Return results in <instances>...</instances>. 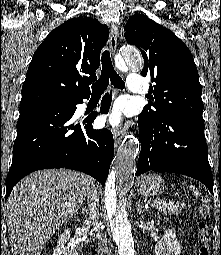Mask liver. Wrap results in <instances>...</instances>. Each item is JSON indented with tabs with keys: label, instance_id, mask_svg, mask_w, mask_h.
<instances>
[{
	"label": "liver",
	"instance_id": "6515ba94",
	"mask_svg": "<svg viewBox=\"0 0 221 255\" xmlns=\"http://www.w3.org/2000/svg\"><path fill=\"white\" fill-rule=\"evenodd\" d=\"M94 186L91 176L66 169L40 170L21 180L3 208L13 255H40Z\"/></svg>",
	"mask_w": 221,
	"mask_h": 255
}]
</instances>
